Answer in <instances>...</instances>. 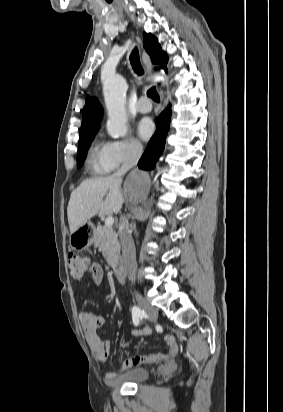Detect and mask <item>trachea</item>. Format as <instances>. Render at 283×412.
<instances>
[{"label":"trachea","mask_w":283,"mask_h":412,"mask_svg":"<svg viewBox=\"0 0 283 412\" xmlns=\"http://www.w3.org/2000/svg\"><path fill=\"white\" fill-rule=\"evenodd\" d=\"M130 62H131L132 68H133V70L136 74L142 75L144 73L141 62H140L139 52H138V49L136 47L130 55ZM147 95L153 101H156V102L160 101V97H159L155 87L150 88L147 91Z\"/></svg>","instance_id":"3493384b"}]
</instances>
